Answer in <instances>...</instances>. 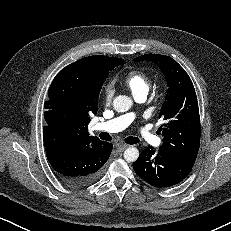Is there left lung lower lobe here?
<instances>
[{
	"label": "left lung lower lobe",
	"mask_w": 231,
	"mask_h": 231,
	"mask_svg": "<svg viewBox=\"0 0 231 231\" xmlns=\"http://www.w3.org/2000/svg\"><path fill=\"white\" fill-rule=\"evenodd\" d=\"M195 160L167 154L152 147L144 149L133 163L134 171L152 186L163 188L181 182L191 171Z\"/></svg>",
	"instance_id": "obj_1"
}]
</instances>
